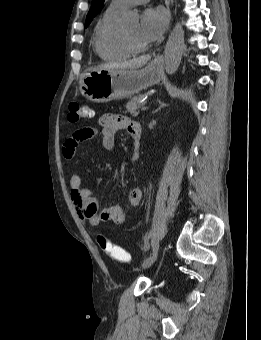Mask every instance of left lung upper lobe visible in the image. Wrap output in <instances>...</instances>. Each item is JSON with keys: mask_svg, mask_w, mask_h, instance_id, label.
<instances>
[{"mask_svg": "<svg viewBox=\"0 0 261 340\" xmlns=\"http://www.w3.org/2000/svg\"><path fill=\"white\" fill-rule=\"evenodd\" d=\"M104 0H95L92 4V7L90 11L88 12L87 18H86V27L90 24L93 17L96 16V14L100 11Z\"/></svg>", "mask_w": 261, "mask_h": 340, "instance_id": "5c2ea615", "label": "left lung upper lobe"}]
</instances>
